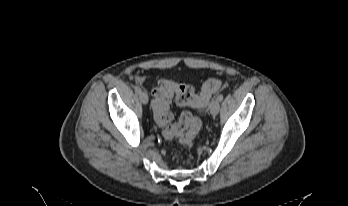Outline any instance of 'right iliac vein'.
Here are the masks:
<instances>
[{
    "label": "right iliac vein",
    "mask_w": 348,
    "mask_h": 206,
    "mask_svg": "<svg viewBox=\"0 0 348 206\" xmlns=\"http://www.w3.org/2000/svg\"><path fill=\"white\" fill-rule=\"evenodd\" d=\"M139 98L142 104L146 105L148 103V94L145 91L140 92Z\"/></svg>",
    "instance_id": "obj_1"
}]
</instances>
